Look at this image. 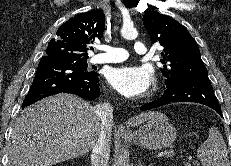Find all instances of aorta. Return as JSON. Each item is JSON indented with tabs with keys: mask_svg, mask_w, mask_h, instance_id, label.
<instances>
[{
	"mask_svg": "<svg viewBox=\"0 0 231 166\" xmlns=\"http://www.w3.org/2000/svg\"><path fill=\"white\" fill-rule=\"evenodd\" d=\"M121 35L127 40H133L137 38L138 31L136 30V28L133 27V25L124 24L121 29Z\"/></svg>",
	"mask_w": 231,
	"mask_h": 166,
	"instance_id": "762f6f07",
	"label": "aorta"
}]
</instances>
